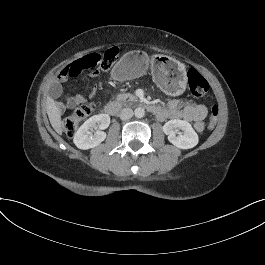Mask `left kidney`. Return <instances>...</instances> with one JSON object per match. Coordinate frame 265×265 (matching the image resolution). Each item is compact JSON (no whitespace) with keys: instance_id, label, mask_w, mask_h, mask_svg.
Masks as SVG:
<instances>
[{"instance_id":"5707ae66","label":"left kidney","mask_w":265,"mask_h":265,"mask_svg":"<svg viewBox=\"0 0 265 265\" xmlns=\"http://www.w3.org/2000/svg\"><path fill=\"white\" fill-rule=\"evenodd\" d=\"M178 129L185 132L184 135L178 133ZM163 132L168 135V140L176 148L187 150L194 148L199 143L198 134L191 124L184 120H170L163 126Z\"/></svg>"}]
</instances>
